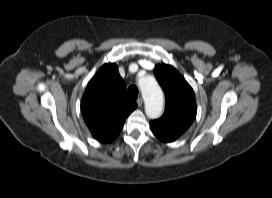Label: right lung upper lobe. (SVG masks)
Returning <instances> with one entry per match:
<instances>
[{"mask_svg": "<svg viewBox=\"0 0 272 198\" xmlns=\"http://www.w3.org/2000/svg\"><path fill=\"white\" fill-rule=\"evenodd\" d=\"M137 107L126 94L116 64L103 65L88 83L81 101L83 119L92 135L108 143L120 133L125 119Z\"/></svg>", "mask_w": 272, "mask_h": 198, "instance_id": "cb5924a9", "label": "right lung upper lobe"}]
</instances>
